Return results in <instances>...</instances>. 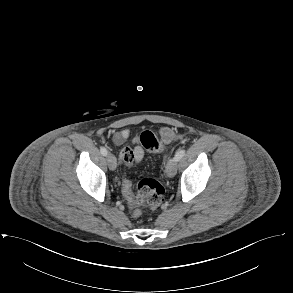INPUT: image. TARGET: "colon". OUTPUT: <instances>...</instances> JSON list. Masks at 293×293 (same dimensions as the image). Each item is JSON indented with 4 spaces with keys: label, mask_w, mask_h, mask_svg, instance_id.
<instances>
[{
    "label": "colon",
    "mask_w": 293,
    "mask_h": 293,
    "mask_svg": "<svg viewBox=\"0 0 293 293\" xmlns=\"http://www.w3.org/2000/svg\"><path fill=\"white\" fill-rule=\"evenodd\" d=\"M140 143L150 153H160L164 149L162 142L149 130L141 133ZM122 191L127 202L135 208V215H139L137 207L144 203H147L151 208L159 207L165 195L164 186L157 179L150 177L143 178L138 182L136 193H133L130 181L123 183Z\"/></svg>",
    "instance_id": "obj_1"
}]
</instances>
